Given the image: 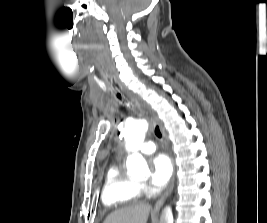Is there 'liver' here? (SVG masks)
<instances>
[{"label":"liver","mask_w":267,"mask_h":223,"mask_svg":"<svg viewBox=\"0 0 267 223\" xmlns=\"http://www.w3.org/2000/svg\"><path fill=\"white\" fill-rule=\"evenodd\" d=\"M150 209L145 203L126 206L109 214L103 223H146Z\"/></svg>","instance_id":"1"}]
</instances>
